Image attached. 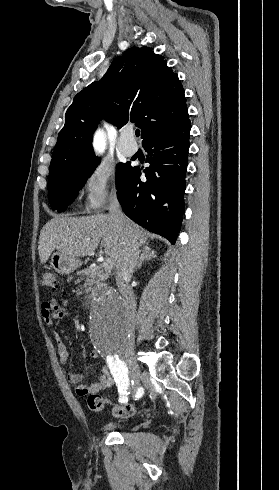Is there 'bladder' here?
<instances>
[{
    "mask_svg": "<svg viewBox=\"0 0 279 490\" xmlns=\"http://www.w3.org/2000/svg\"><path fill=\"white\" fill-rule=\"evenodd\" d=\"M128 424L123 421V420H117V421H108V422H105L102 426V430H105V431H116L120 428H125L127 427Z\"/></svg>",
    "mask_w": 279,
    "mask_h": 490,
    "instance_id": "31cf9c89",
    "label": "bladder"
}]
</instances>
